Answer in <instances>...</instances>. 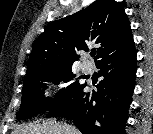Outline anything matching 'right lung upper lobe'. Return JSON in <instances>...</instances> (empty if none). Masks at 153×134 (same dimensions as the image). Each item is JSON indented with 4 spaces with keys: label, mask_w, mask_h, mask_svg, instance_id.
<instances>
[{
    "label": "right lung upper lobe",
    "mask_w": 153,
    "mask_h": 134,
    "mask_svg": "<svg viewBox=\"0 0 153 134\" xmlns=\"http://www.w3.org/2000/svg\"><path fill=\"white\" fill-rule=\"evenodd\" d=\"M133 41L121 3L97 0L79 12L50 23L34 43L25 78L46 70L72 66L77 50L99 44L96 63Z\"/></svg>",
    "instance_id": "obj_1"
}]
</instances>
